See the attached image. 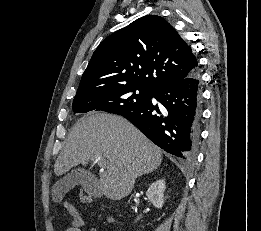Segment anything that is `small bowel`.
I'll list each match as a JSON object with an SVG mask.
<instances>
[{
    "label": "small bowel",
    "mask_w": 261,
    "mask_h": 231,
    "mask_svg": "<svg viewBox=\"0 0 261 231\" xmlns=\"http://www.w3.org/2000/svg\"><path fill=\"white\" fill-rule=\"evenodd\" d=\"M61 204L64 210L72 217L71 226L66 228L64 231H82L84 220L75 208L74 204L68 199H62ZM91 231H96V229H91Z\"/></svg>",
    "instance_id": "small-bowel-1"
}]
</instances>
